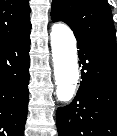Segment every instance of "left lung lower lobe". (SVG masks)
<instances>
[{
	"mask_svg": "<svg viewBox=\"0 0 117 136\" xmlns=\"http://www.w3.org/2000/svg\"><path fill=\"white\" fill-rule=\"evenodd\" d=\"M82 75L70 105L57 110L59 136H117V46L76 36Z\"/></svg>",
	"mask_w": 117,
	"mask_h": 136,
	"instance_id": "obj_1",
	"label": "left lung lower lobe"
}]
</instances>
